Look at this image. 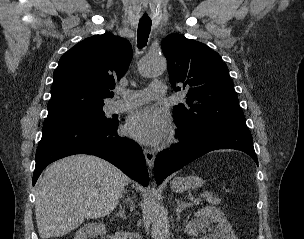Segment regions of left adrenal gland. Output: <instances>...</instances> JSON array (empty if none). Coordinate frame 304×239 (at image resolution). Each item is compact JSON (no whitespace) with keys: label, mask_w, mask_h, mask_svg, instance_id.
I'll use <instances>...</instances> for the list:
<instances>
[{"label":"left adrenal gland","mask_w":304,"mask_h":239,"mask_svg":"<svg viewBox=\"0 0 304 239\" xmlns=\"http://www.w3.org/2000/svg\"><path fill=\"white\" fill-rule=\"evenodd\" d=\"M175 201L177 202V208H176V216H177V220L180 221V213L182 212V210L185 207L190 206L189 203L180 201L179 199H175Z\"/></svg>","instance_id":"1"}]
</instances>
